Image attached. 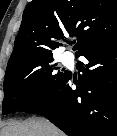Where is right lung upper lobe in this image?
<instances>
[{
    "label": "right lung upper lobe",
    "mask_w": 117,
    "mask_h": 136,
    "mask_svg": "<svg viewBox=\"0 0 117 136\" xmlns=\"http://www.w3.org/2000/svg\"><path fill=\"white\" fill-rule=\"evenodd\" d=\"M117 30V0H33L23 12L8 64L32 56H53L69 33L76 54Z\"/></svg>",
    "instance_id": "right-lung-upper-lobe-1"
}]
</instances>
